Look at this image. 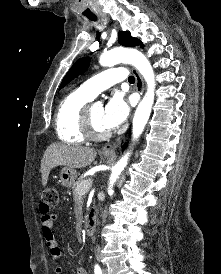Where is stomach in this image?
I'll use <instances>...</instances> for the list:
<instances>
[{
  "mask_svg": "<svg viewBox=\"0 0 221 274\" xmlns=\"http://www.w3.org/2000/svg\"><path fill=\"white\" fill-rule=\"evenodd\" d=\"M105 156L109 157V155H105ZM76 178H77V172L75 169L70 167L62 168L60 172V182L62 186L66 188L71 187L74 184Z\"/></svg>",
  "mask_w": 221,
  "mask_h": 274,
  "instance_id": "1",
  "label": "stomach"
}]
</instances>
